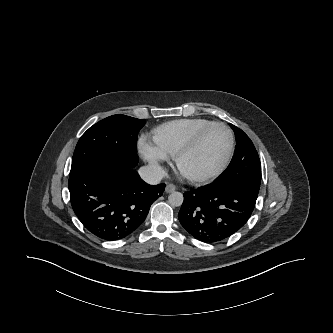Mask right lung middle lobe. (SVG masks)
Masks as SVG:
<instances>
[{"label":"right lung middle lobe","mask_w":333,"mask_h":333,"mask_svg":"<svg viewBox=\"0 0 333 333\" xmlns=\"http://www.w3.org/2000/svg\"><path fill=\"white\" fill-rule=\"evenodd\" d=\"M146 123L126 115H113L91 126L78 141L70 175L89 168L128 169L137 165V134Z\"/></svg>","instance_id":"right-lung-middle-lobe-1"}]
</instances>
